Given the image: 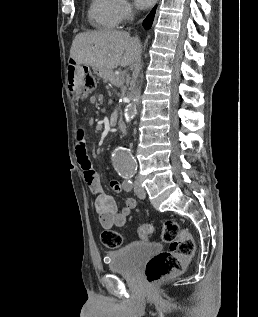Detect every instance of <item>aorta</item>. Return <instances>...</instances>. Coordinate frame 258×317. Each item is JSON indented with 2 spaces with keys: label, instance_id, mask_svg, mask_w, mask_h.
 <instances>
[{
  "label": "aorta",
  "instance_id": "obj_1",
  "mask_svg": "<svg viewBox=\"0 0 258 317\" xmlns=\"http://www.w3.org/2000/svg\"><path fill=\"white\" fill-rule=\"evenodd\" d=\"M136 115V100L132 101L125 107L124 117L127 123L134 119ZM113 164L119 175L122 177H132L137 170V163L130 151L119 148L113 155Z\"/></svg>",
  "mask_w": 258,
  "mask_h": 317
}]
</instances>
